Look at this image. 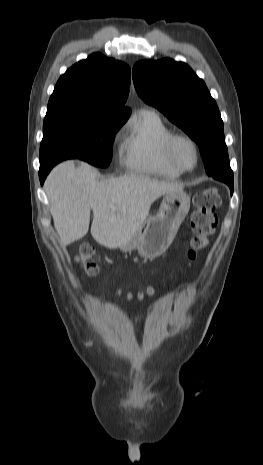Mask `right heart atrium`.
Returning <instances> with one entry per match:
<instances>
[{
  "label": "right heart atrium",
  "mask_w": 263,
  "mask_h": 465,
  "mask_svg": "<svg viewBox=\"0 0 263 465\" xmlns=\"http://www.w3.org/2000/svg\"><path fill=\"white\" fill-rule=\"evenodd\" d=\"M114 138H115V139L117 138V134L114 136Z\"/></svg>",
  "instance_id": "d8ad5b80"
}]
</instances>
